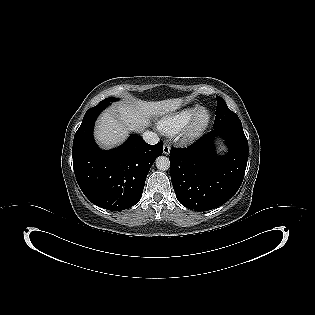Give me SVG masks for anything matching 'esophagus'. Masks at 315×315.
<instances>
[{
	"label": "esophagus",
	"instance_id": "esophagus-1",
	"mask_svg": "<svg viewBox=\"0 0 315 315\" xmlns=\"http://www.w3.org/2000/svg\"><path fill=\"white\" fill-rule=\"evenodd\" d=\"M163 153L165 155H168L170 153V145L165 143L164 146H163Z\"/></svg>",
	"mask_w": 315,
	"mask_h": 315
}]
</instances>
